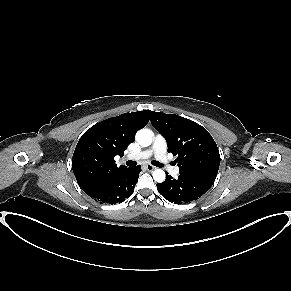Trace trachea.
<instances>
[{
	"mask_svg": "<svg viewBox=\"0 0 291 291\" xmlns=\"http://www.w3.org/2000/svg\"><path fill=\"white\" fill-rule=\"evenodd\" d=\"M136 164L137 163L135 161H131V160L126 162L127 166H135ZM151 164L156 166V167H163V165L158 161H152Z\"/></svg>",
	"mask_w": 291,
	"mask_h": 291,
	"instance_id": "3493384b",
	"label": "trachea"
}]
</instances>
